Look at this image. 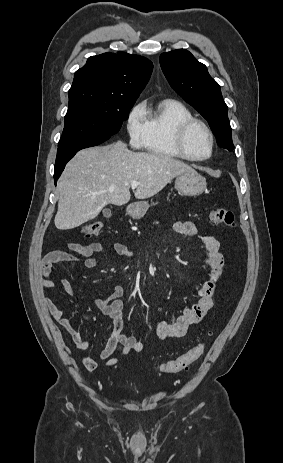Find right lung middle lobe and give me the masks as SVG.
Returning a JSON list of instances; mask_svg holds the SVG:
<instances>
[{
  "instance_id": "1",
  "label": "right lung middle lobe",
  "mask_w": 283,
  "mask_h": 463,
  "mask_svg": "<svg viewBox=\"0 0 283 463\" xmlns=\"http://www.w3.org/2000/svg\"><path fill=\"white\" fill-rule=\"evenodd\" d=\"M134 103L135 100L119 97L93 96L82 92L69 94V108L58 147L109 139L128 119Z\"/></svg>"
}]
</instances>
